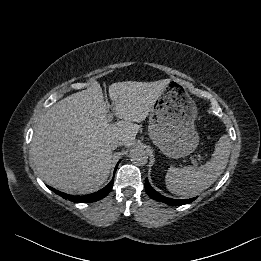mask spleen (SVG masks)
<instances>
[{
  "label": "spleen",
  "instance_id": "1",
  "mask_svg": "<svg viewBox=\"0 0 261 261\" xmlns=\"http://www.w3.org/2000/svg\"><path fill=\"white\" fill-rule=\"evenodd\" d=\"M230 139L221 136L211 159L199 167H169L165 176L167 189L176 195L189 197L209 188L226 168L230 156Z\"/></svg>",
  "mask_w": 261,
  "mask_h": 261
}]
</instances>
